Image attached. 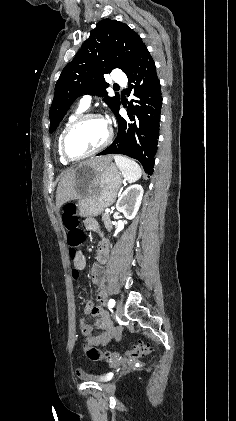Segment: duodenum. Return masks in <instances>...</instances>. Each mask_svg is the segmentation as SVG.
<instances>
[{
    "mask_svg": "<svg viewBox=\"0 0 236 421\" xmlns=\"http://www.w3.org/2000/svg\"><path fill=\"white\" fill-rule=\"evenodd\" d=\"M108 254H109L108 242L106 240H103L99 248V264L95 265L92 270L93 280L98 285V299L100 300V302H103L106 297V271L101 264L107 261ZM92 313H96L97 315H99V310L93 308ZM98 325L104 331L98 336L91 337V338H93L96 341H103L106 337V330H105L106 323L103 320V318H101V316H99ZM82 330L85 335L90 336L91 330L86 324L82 325Z\"/></svg>",
    "mask_w": 236,
    "mask_h": 421,
    "instance_id": "410a0bca",
    "label": "duodenum"
}]
</instances>
